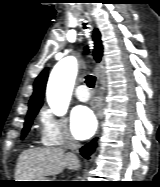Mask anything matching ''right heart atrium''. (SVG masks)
Listing matches in <instances>:
<instances>
[{
  "label": "right heart atrium",
  "instance_id": "d8ad5b80",
  "mask_svg": "<svg viewBox=\"0 0 160 187\" xmlns=\"http://www.w3.org/2000/svg\"><path fill=\"white\" fill-rule=\"evenodd\" d=\"M41 124V141L47 146L74 147L77 142L67 123L51 110L44 109L39 116Z\"/></svg>",
  "mask_w": 160,
  "mask_h": 187
}]
</instances>
